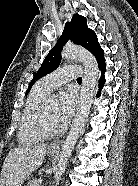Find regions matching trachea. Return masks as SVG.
Here are the masks:
<instances>
[{
    "instance_id": "obj_1",
    "label": "trachea",
    "mask_w": 138,
    "mask_h": 186,
    "mask_svg": "<svg viewBox=\"0 0 138 186\" xmlns=\"http://www.w3.org/2000/svg\"><path fill=\"white\" fill-rule=\"evenodd\" d=\"M77 82H82V78L81 77L77 78Z\"/></svg>"
}]
</instances>
